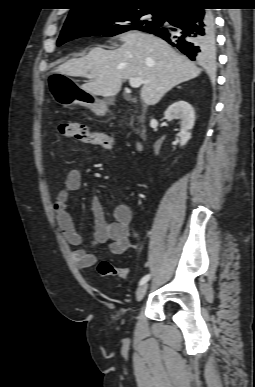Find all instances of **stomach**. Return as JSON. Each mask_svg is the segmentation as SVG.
<instances>
[{"label":"stomach","mask_w":255,"mask_h":387,"mask_svg":"<svg viewBox=\"0 0 255 387\" xmlns=\"http://www.w3.org/2000/svg\"><path fill=\"white\" fill-rule=\"evenodd\" d=\"M48 81L52 82V97L59 104L68 107L73 103H79L90 108L97 115H104L107 112L109 101L100 100L81 87H77L72 79L59 75V70H48Z\"/></svg>","instance_id":"1"}]
</instances>
